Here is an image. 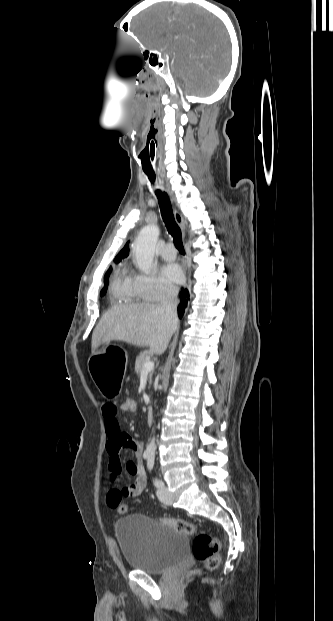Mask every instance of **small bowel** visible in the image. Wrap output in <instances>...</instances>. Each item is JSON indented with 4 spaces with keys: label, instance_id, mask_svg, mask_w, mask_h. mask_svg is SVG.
Segmentation results:
<instances>
[{
    "label": "small bowel",
    "instance_id": "obj_1",
    "mask_svg": "<svg viewBox=\"0 0 333 621\" xmlns=\"http://www.w3.org/2000/svg\"><path fill=\"white\" fill-rule=\"evenodd\" d=\"M119 410H122L121 407L110 402L104 403L101 407L105 432L108 437L110 485L107 493V504L111 508H116L119 503L127 498L140 495L147 483L146 473L142 466L143 443L121 430L117 419ZM124 449L131 450L135 454L136 460H130L123 464L120 452ZM122 473L133 477V482L126 486H119L118 480Z\"/></svg>",
    "mask_w": 333,
    "mask_h": 621
}]
</instances>
